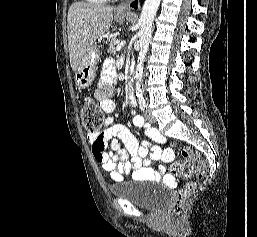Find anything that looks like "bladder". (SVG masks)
Here are the masks:
<instances>
[{"instance_id": "31cf9c89", "label": "bladder", "mask_w": 257, "mask_h": 237, "mask_svg": "<svg viewBox=\"0 0 257 237\" xmlns=\"http://www.w3.org/2000/svg\"><path fill=\"white\" fill-rule=\"evenodd\" d=\"M145 180L124 181L110 187L111 193L118 198H123L131 204L145 210H157L169 200L166 190L145 187Z\"/></svg>"}]
</instances>
